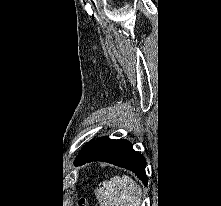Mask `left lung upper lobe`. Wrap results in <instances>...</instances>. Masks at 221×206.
Wrapping results in <instances>:
<instances>
[{"mask_svg":"<svg viewBox=\"0 0 221 206\" xmlns=\"http://www.w3.org/2000/svg\"><path fill=\"white\" fill-rule=\"evenodd\" d=\"M91 142H92V141H91ZM91 142H89L85 147H87ZM85 147H84V148H85ZM84 148H83V149H84ZM83 149H82V150H83Z\"/></svg>","mask_w":221,"mask_h":206,"instance_id":"left-lung-upper-lobe-1","label":"left lung upper lobe"}]
</instances>
